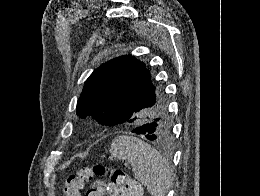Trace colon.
Returning <instances> with one entry per match:
<instances>
[{
    "label": "colon",
    "instance_id": "1",
    "mask_svg": "<svg viewBox=\"0 0 260 196\" xmlns=\"http://www.w3.org/2000/svg\"><path fill=\"white\" fill-rule=\"evenodd\" d=\"M105 178L109 179L110 185L120 191L130 187V180L125 172L121 170L108 172L102 165H97L94 167H82L76 173L69 174L65 180L63 195L81 196V191L86 183L93 180L102 181Z\"/></svg>",
    "mask_w": 260,
    "mask_h": 196
}]
</instances>
